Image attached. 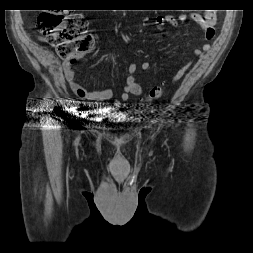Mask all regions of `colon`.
<instances>
[{"label": "colon", "mask_w": 253, "mask_h": 253, "mask_svg": "<svg viewBox=\"0 0 253 253\" xmlns=\"http://www.w3.org/2000/svg\"><path fill=\"white\" fill-rule=\"evenodd\" d=\"M86 19L77 14L45 12L39 15L38 30L56 48L58 55L74 62L93 47V38L87 33ZM160 86L152 88L147 100H155L162 95Z\"/></svg>", "instance_id": "5ec220e1"}]
</instances>
